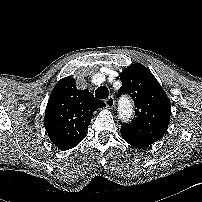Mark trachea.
<instances>
[{"instance_id":"1","label":"trachea","mask_w":202,"mask_h":202,"mask_svg":"<svg viewBox=\"0 0 202 202\" xmlns=\"http://www.w3.org/2000/svg\"><path fill=\"white\" fill-rule=\"evenodd\" d=\"M95 96L99 99H106L109 96V90L105 86H100L95 91Z\"/></svg>"}]
</instances>
